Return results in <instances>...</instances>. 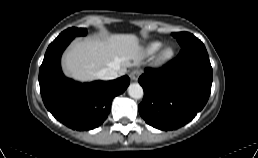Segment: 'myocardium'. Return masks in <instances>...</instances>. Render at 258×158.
Segmentation results:
<instances>
[{"label": "myocardium", "mask_w": 258, "mask_h": 158, "mask_svg": "<svg viewBox=\"0 0 258 158\" xmlns=\"http://www.w3.org/2000/svg\"><path fill=\"white\" fill-rule=\"evenodd\" d=\"M172 55H173V50L170 47H165L159 52L157 57V62L168 60L169 58L172 57Z\"/></svg>", "instance_id": "obj_1"}]
</instances>
